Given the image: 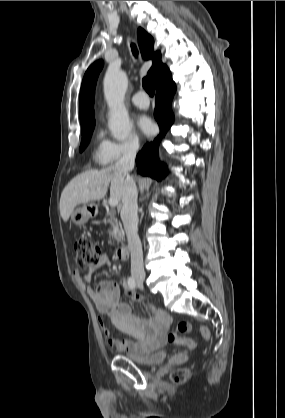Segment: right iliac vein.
I'll list each match as a JSON object with an SVG mask.
<instances>
[{
	"instance_id": "right-iliac-vein-1",
	"label": "right iliac vein",
	"mask_w": 285,
	"mask_h": 418,
	"mask_svg": "<svg viewBox=\"0 0 285 418\" xmlns=\"http://www.w3.org/2000/svg\"><path fill=\"white\" fill-rule=\"evenodd\" d=\"M134 279L136 280V282L138 283H143L144 282V276L143 275H135Z\"/></svg>"
}]
</instances>
